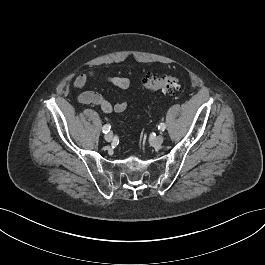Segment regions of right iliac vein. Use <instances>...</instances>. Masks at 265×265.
I'll return each mask as SVG.
<instances>
[{
    "label": "right iliac vein",
    "instance_id": "right-iliac-vein-1",
    "mask_svg": "<svg viewBox=\"0 0 265 265\" xmlns=\"http://www.w3.org/2000/svg\"><path fill=\"white\" fill-rule=\"evenodd\" d=\"M105 140L110 142L113 140V133L112 132H109L105 135Z\"/></svg>",
    "mask_w": 265,
    "mask_h": 265
}]
</instances>
